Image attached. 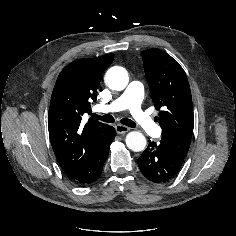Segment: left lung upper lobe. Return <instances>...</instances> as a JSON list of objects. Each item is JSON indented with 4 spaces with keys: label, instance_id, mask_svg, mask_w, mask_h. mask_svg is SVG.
<instances>
[{
    "label": "left lung upper lobe",
    "instance_id": "obj_1",
    "mask_svg": "<svg viewBox=\"0 0 236 236\" xmlns=\"http://www.w3.org/2000/svg\"><path fill=\"white\" fill-rule=\"evenodd\" d=\"M146 79L162 127L160 144L185 158L194 128L190 86L179 63L164 51L142 52Z\"/></svg>",
    "mask_w": 236,
    "mask_h": 236
}]
</instances>
